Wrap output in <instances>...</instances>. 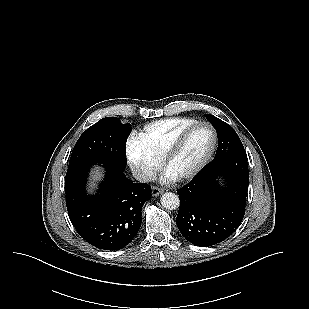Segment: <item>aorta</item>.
<instances>
[{
    "instance_id": "aorta-1",
    "label": "aorta",
    "mask_w": 309,
    "mask_h": 309,
    "mask_svg": "<svg viewBox=\"0 0 309 309\" xmlns=\"http://www.w3.org/2000/svg\"><path fill=\"white\" fill-rule=\"evenodd\" d=\"M179 197L172 192H166L161 197V205L168 210H175L179 207Z\"/></svg>"
}]
</instances>
